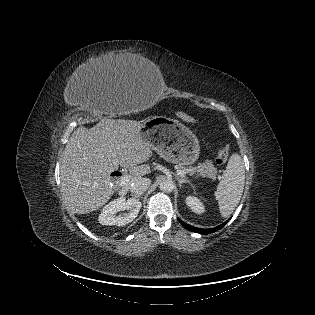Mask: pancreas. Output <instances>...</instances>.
<instances>
[{
    "mask_svg": "<svg viewBox=\"0 0 315 315\" xmlns=\"http://www.w3.org/2000/svg\"><path fill=\"white\" fill-rule=\"evenodd\" d=\"M180 170H182L185 174H188L190 176L198 173L202 176L207 175L208 177L215 179L216 178V174H217V169L215 168V166L213 165V163L211 161H206L202 164H199L198 166L195 167H184L182 165H178L177 166Z\"/></svg>",
    "mask_w": 315,
    "mask_h": 315,
    "instance_id": "cf45deb5",
    "label": "pancreas"
}]
</instances>
